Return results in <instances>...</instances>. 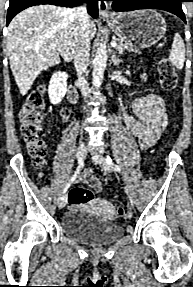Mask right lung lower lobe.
I'll use <instances>...</instances> for the list:
<instances>
[{
	"label": "right lung lower lobe",
	"mask_w": 193,
	"mask_h": 287,
	"mask_svg": "<svg viewBox=\"0 0 193 287\" xmlns=\"http://www.w3.org/2000/svg\"><path fill=\"white\" fill-rule=\"evenodd\" d=\"M82 2H88V13L94 17H98V0H10V5L7 12V25L12 18L22 10L40 4H52L62 7H75Z\"/></svg>",
	"instance_id": "right-lung-lower-lobe-1"
}]
</instances>
